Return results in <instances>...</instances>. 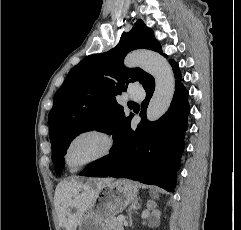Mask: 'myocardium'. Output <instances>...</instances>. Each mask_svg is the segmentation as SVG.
Instances as JSON below:
<instances>
[{"label": "myocardium", "instance_id": "obj_1", "mask_svg": "<svg viewBox=\"0 0 241 230\" xmlns=\"http://www.w3.org/2000/svg\"><path fill=\"white\" fill-rule=\"evenodd\" d=\"M84 135H96V136H99L100 138H102V140L104 141V144H105L104 149L95 157L79 164L76 167H71L68 162V152H69L70 146L76 139H78L79 137L84 136ZM114 147H115L114 138L107 130H105L104 128H101V127H87V128H84V129L78 131L69 139V141L67 142L65 149H64L63 160H64L66 167L69 170L77 171L81 168H84L88 165H91L93 163H96L98 161H101V160L107 158L108 156H110L112 154Z\"/></svg>", "mask_w": 241, "mask_h": 230}]
</instances>
